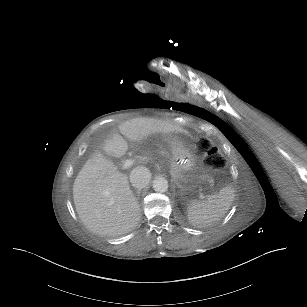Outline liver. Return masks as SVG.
<instances>
[{"label": "liver", "mask_w": 307, "mask_h": 307, "mask_svg": "<svg viewBox=\"0 0 307 307\" xmlns=\"http://www.w3.org/2000/svg\"><path fill=\"white\" fill-rule=\"evenodd\" d=\"M121 134L113 133L106 151L113 157L128 151L126 139L140 142L155 133L188 135L180 125L155 118H134L118 125ZM124 137H123V136ZM76 211L83 224L101 236H116L133 230L140 220V207L130 189L128 176L100 154L86 161L73 185Z\"/></svg>", "instance_id": "6515ba94"}]
</instances>
